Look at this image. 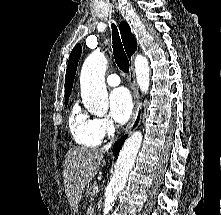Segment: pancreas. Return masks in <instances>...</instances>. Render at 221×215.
Returning a JSON list of instances; mask_svg holds the SVG:
<instances>
[{"label": "pancreas", "mask_w": 221, "mask_h": 215, "mask_svg": "<svg viewBox=\"0 0 221 215\" xmlns=\"http://www.w3.org/2000/svg\"><path fill=\"white\" fill-rule=\"evenodd\" d=\"M85 196H86V204H85V207H89L88 202L93 201V197L91 196V191H90V189H87ZM87 215H89V214H88V211H87ZM90 215H93V213L90 214Z\"/></svg>", "instance_id": "1"}]
</instances>
